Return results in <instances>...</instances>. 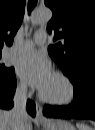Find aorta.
Segmentation results:
<instances>
[{"mask_svg":"<svg viewBox=\"0 0 95 130\" xmlns=\"http://www.w3.org/2000/svg\"><path fill=\"white\" fill-rule=\"evenodd\" d=\"M52 18V12L49 8H38L35 10L32 23L33 24H40V23H47Z\"/></svg>","mask_w":95,"mask_h":130,"instance_id":"1","label":"aorta"}]
</instances>
